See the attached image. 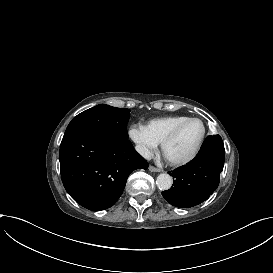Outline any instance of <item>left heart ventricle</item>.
<instances>
[{
    "instance_id": "1",
    "label": "left heart ventricle",
    "mask_w": 273,
    "mask_h": 273,
    "mask_svg": "<svg viewBox=\"0 0 273 273\" xmlns=\"http://www.w3.org/2000/svg\"><path fill=\"white\" fill-rule=\"evenodd\" d=\"M203 134V125L194 120L185 124L175 138L166 146L165 156L170 160L187 157L196 147Z\"/></svg>"
}]
</instances>
